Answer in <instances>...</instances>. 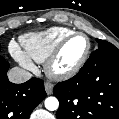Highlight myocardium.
Here are the masks:
<instances>
[{
    "mask_svg": "<svg viewBox=\"0 0 119 119\" xmlns=\"http://www.w3.org/2000/svg\"><path fill=\"white\" fill-rule=\"evenodd\" d=\"M76 36H82L87 41V49L84 53V55L81 57V59L72 67L64 70H58L56 69V62L64 48V46L73 38ZM92 50V44L89 39V37L82 33V32H72L69 35L65 36L63 39L60 40V42L56 45L54 50L51 52V54L48 56V58L45 61V72L48 75V77L55 79V80H64L69 79L73 76H75L85 65L87 62Z\"/></svg>",
    "mask_w": 119,
    "mask_h": 119,
    "instance_id": "obj_1",
    "label": "myocardium"
}]
</instances>
